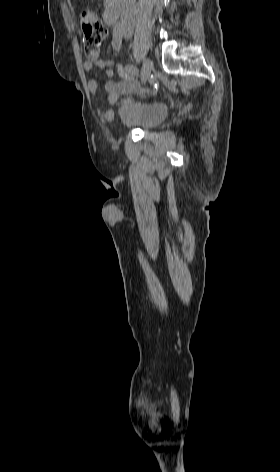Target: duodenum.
Here are the masks:
<instances>
[{"mask_svg": "<svg viewBox=\"0 0 280 472\" xmlns=\"http://www.w3.org/2000/svg\"><path fill=\"white\" fill-rule=\"evenodd\" d=\"M123 0H109L105 9L104 20L108 25H115L122 6Z\"/></svg>", "mask_w": 280, "mask_h": 472, "instance_id": "1", "label": "duodenum"}]
</instances>
